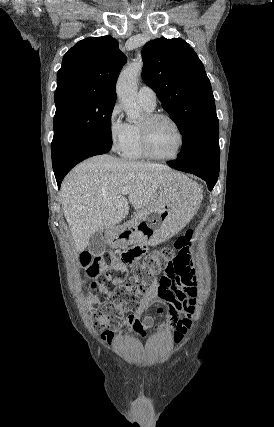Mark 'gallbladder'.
Wrapping results in <instances>:
<instances>
[{"mask_svg": "<svg viewBox=\"0 0 274 427\" xmlns=\"http://www.w3.org/2000/svg\"><path fill=\"white\" fill-rule=\"evenodd\" d=\"M88 249L91 255H102V253H104L106 243L101 231H96V233L91 235L88 243Z\"/></svg>", "mask_w": 274, "mask_h": 427, "instance_id": "obj_1", "label": "gallbladder"}]
</instances>
